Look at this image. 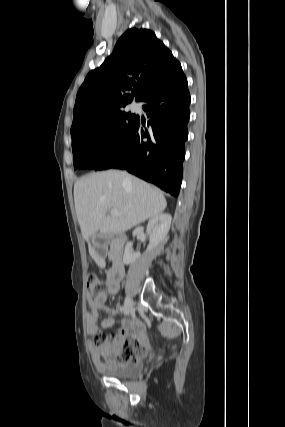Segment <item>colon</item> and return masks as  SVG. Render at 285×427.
<instances>
[{
	"label": "colon",
	"instance_id": "obj_1",
	"mask_svg": "<svg viewBox=\"0 0 285 427\" xmlns=\"http://www.w3.org/2000/svg\"><path fill=\"white\" fill-rule=\"evenodd\" d=\"M87 289L93 296L104 293L107 289L106 283L101 280L96 274L89 273L87 276ZM95 343L100 347L105 357H111L120 363H130L138 360L146 351L145 346L136 336H131L127 343L122 347L119 356H115L111 352V344L109 340L102 334L94 336Z\"/></svg>",
	"mask_w": 285,
	"mask_h": 427
}]
</instances>
